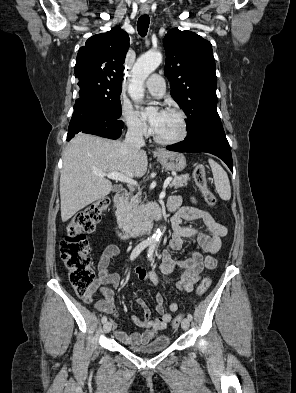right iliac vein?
<instances>
[{
	"instance_id": "obj_1",
	"label": "right iliac vein",
	"mask_w": 296,
	"mask_h": 393,
	"mask_svg": "<svg viewBox=\"0 0 296 393\" xmlns=\"http://www.w3.org/2000/svg\"><path fill=\"white\" fill-rule=\"evenodd\" d=\"M103 329L105 333H109L111 330V323L110 322H105L103 325Z\"/></svg>"
}]
</instances>
